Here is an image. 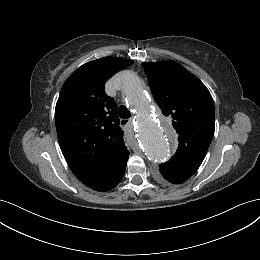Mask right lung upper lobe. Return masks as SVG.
Here are the masks:
<instances>
[{
  "label": "right lung upper lobe",
  "mask_w": 260,
  "mask_h": 260,
  "mask_svg": "<svg viewBox=\"0 0 260 260\" xmlns=\"http://www.w3.org/2000/svg\"><path fill=\"white\" fill-rule=\"evenodd\" d=\"M131 64L133 61L119 57L87 62L61 89L55 108L59 144L74 175L88 187L112 182L125 171L129 151L117 105L104 86Z\"/></svg>",
  "instance_id": "1"
}]
</instances>
